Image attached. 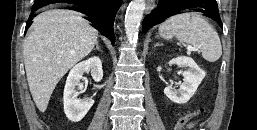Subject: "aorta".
I'll return each mask as SVG.
<instances>
[{"label":"aorta","instance_id":"aorta-1","mask_svg":"<svg viewBox=\"0 0 257 130\" xmlns=\"http://www.w3.org/2000/svg\"><path fill=\"white\" fill-rule=\"evenodd\" d=\"M145 5V0H132L127 8L124 23L126 37L130 43L137 41Z\"/></svg>","mask_w":257,"mask_h":130}]
</instances>
